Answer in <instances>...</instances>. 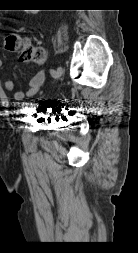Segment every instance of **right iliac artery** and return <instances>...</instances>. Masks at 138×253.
I'll return each mask as SVG.
<instances>
[{
  "instance_id": "1",
  "label": "right iliac artery",
  "mask_w": 138,
  "mask_h": 253,
  "mask_svg": "<svg viewBox=\"0 0 138 253\" xmlns=\"http://www.w3.org/2000/svg\"><path fill=\"white\" fill-rule=\"evenodd\" d=\"M56 72H57V71H49V74H52V76H53L54 78H57Z\"/></svg>"
}]
</instances>
